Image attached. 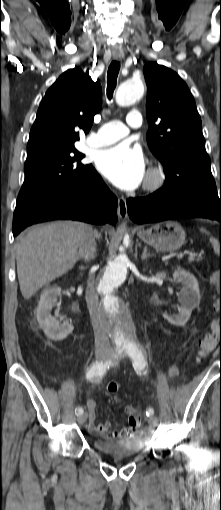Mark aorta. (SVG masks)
I'll return each mask as SVG.
<instances>
[{"label": "aorta", "instance_id": "762f6f07", "mask_svg": "<svg viewBox=\"0 0 221 510\" xmlns=\"http://www.w3.org/2000/svg\"><path fill=\"white\" fill-rule=\"evenodd\" d=\"M144 94V84L140 79L123 82L117 89L116 102L119 106H130ZM130 261L126 254L117 255L108 263L98 279L97 291L101 296L100 310L105 326L117 349L134 348L137 340L129 310L116 290L127 278Z\"/></svg>", "mask_w": 221, "mask_h": 510}]
</instances>
